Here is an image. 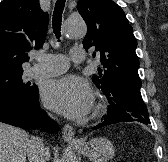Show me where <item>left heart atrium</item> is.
I'll return each instance as SVG.
<instances>
[{"label":"left heart atrium","instance_id":"39dd6f15","mask_svg":"<svg viewBox=\"0 0 168 162\" xmlns=\"http://www.w3.org/2000/svg\"><path fill=\"white\" fill-rule=\"evenodd\" d=\"M42 96L47 107L69 118L85 116L92 106L89 84L74 75L49 81Z\"/></svg>","mask_w":168,"mask_h":162}]
</instances>
